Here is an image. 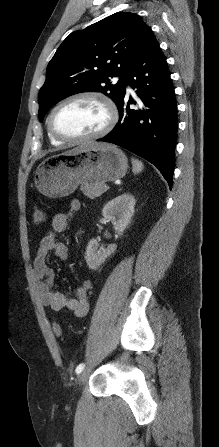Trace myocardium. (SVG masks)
Returning a JSON list of instances; mask_svg holds the SVG:
<instances>
[{
	"mask_svg": "<svg viewBox=\"0 0 219 447\" xmlns=\"http://www.w3.org/2000/svg\"><path fill=\"white\" fill-rule=\"evenodd\" d=\"M84 99L93 100L103 106V108L106 111V122L104 126L95 133L82 137H67L58 133L54 127V116L58 111V109H60L67 103ZM117 120H118L117 107L108 96L96 91H81L65 97L54 106L48 118V130L53 137L60 140L61 142L82 143L86 141L95 140L107 135L114 128Z\"/></svg>",
	"mask_w": 219,
	"mask_h": 447,
	"instance_id": "myocardium-1",
	"label": "myocardium"
}]
</instances>
